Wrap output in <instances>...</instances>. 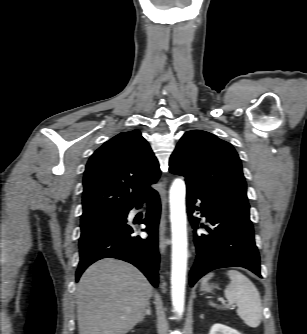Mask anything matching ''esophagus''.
<instances>
[{
    "label": "esophagus",
    "mask_w": 307,
    "mask_h": 334,
    "mask_svg": "<svg viewBox=\"0 0 307 334\" xmlns=\"http://www.w3.org/2000/svg\"><path fill=\"white\" fill-rule=\"evenodd\" d=\"M163 186H165V179H163ZM166 199L163 198L162 203V215L160 219V225H159V248L160 252L162 254L165 253L166 246H167V240H166Z\"/></svg>",
    "instance_id": "34e87169"
}]
</instances>
